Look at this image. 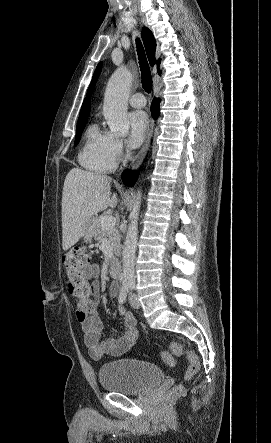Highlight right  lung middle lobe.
Returning a JSON list of instances; mask_svg holds the SVG:
<instances>
[{"instance_id":"obj_1","label":"right lung middle lobe","mask_w":271,"mask_h":443,"mask_svg":"<svg viewBox=\"0 0 271 443\" xmlns=\"http://www.w3.org/2000/svg\"><path fill=\"white\" fill-rule=\"evenodd\" d=\"M87 122V118L80 119L77 122V128H76V137H75V146L79 143L83 129L85 127V124Z\"/></svg>"}]
</instances>
